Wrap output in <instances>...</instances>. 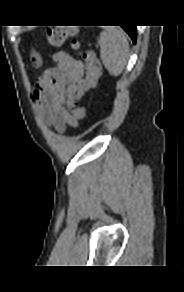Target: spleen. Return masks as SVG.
<instances>
[{"mask_svg":"<svg viewBox=\"0 0 184 292\" xmlns=\"http://www.w3.org/2000/svg\"><path fill=\"white\" fill-rule=\"evenodd\" d=\"M100 45V57L108 72L119 76L129 57V43L121 29L106 28L98 39Z\"/></svg>","mask_w":184,"mask_h":292,"instance_id":"3e777b00","label":"spleen"}]
</instances>
